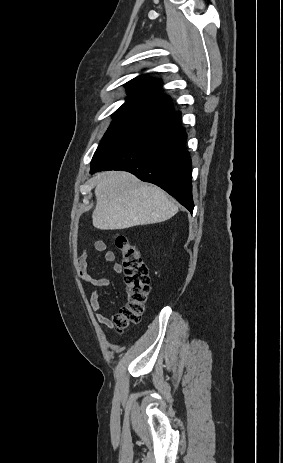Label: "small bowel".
Listing matches in <instances>:
<instances>
[{"mask_svg": "<svg viewBox=\"0 0 283 463\" xmlns=\"http://www.w3.org/2000/svg\"><path fill=\"white\" fill-rule=\"evenodd\" d=\"M94 248L97 252L104 253V257L107 262L114 263L113 269L116 273L122 272V265L120 263L115 262V253L113 251L108 250L107 243L104 240L95 241ZM76 267L78 276L92 288L90 294V306L96 313L97 321L105 327L111 326L114 316L105 315L98 312L101 307L99 290L107 289L109 286V280L106 278H95L89 274V261L86 250L82 251L78 256L76 260Z\"/></svg>", "mask_w": 283, "mask_h": 463, "instance_id": "small-bowel-1", "label": "small bowel"}]
</instances>
